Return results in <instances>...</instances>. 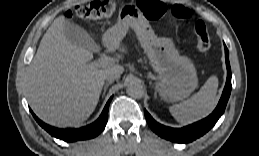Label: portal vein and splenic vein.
<instances>
[{
    "label": "portal vein and splenic vein",
    "mask_w": 259,
    "mask_h": 156,
    "mask_svg": "<svg viewBox=\"0 0 259 156\" xmlns=\"http://www.w3.org/2000/svg\"><path fill=\"white\" fill-rule=\"evenodd\" d=\"M113 64H114L113 58H110L108 56H102L97 61L90 63V66L101 68V67H107Z\"/></svg>",
    "instance_id": "18ae733b"
}]
</instances>
